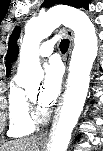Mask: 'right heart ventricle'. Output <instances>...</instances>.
<instances>
[{"label": "right heart ventricle", "mask_w": 103, "mask_h": 151, "mask_svg": "<svg viewBox=\"0 0 103 151\" xmlns=\"http://www.w3.org/2000/svg\"><path fill=\"white\" fill-rule=\"evenodd\" d=\"M8 113L9 137L18 138L34 132L36 124L31 119L27 92L14 82L9 87Z\"/></svg>", "instance_id": "obj_1"}]
</instances>
